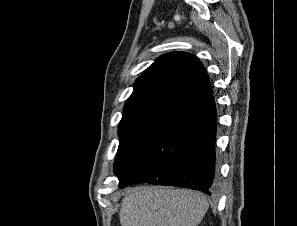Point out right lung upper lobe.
<instances>
[{"label":"right lung upper lobe","mask_w":297,"mask_h":226,"mask_svg":"<svg viewBox=\"0 0 297 226\" xmlns=\"http://www.w3.org/2000/svg\"><path fill=\"white\" fill-rule=\"evenodd\" d=\"M213 95L200 60L186 52L160 56L134 83L120 122L147 117H172Z\"/></svg>","instance_id":"obj_1"}]
</instances>
